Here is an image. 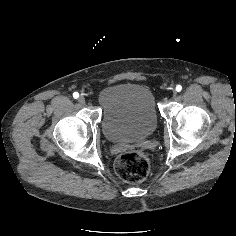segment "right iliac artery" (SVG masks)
I'll list each match as a JSON object with an SVG mask.
<instances>
[{"instance_id":"82829eb1","label":"right iliac artery","mask_w":236,"mask_h":236,"mask_svg":"<svg viewBox=\"0 0 236 236\" xmlns=\"http://www.w3.org/2000/svg\"><path fill=\"white\" fill-rule=\"evenodd\" d=\"M73 97H74L75 99H77V98L79 97V93H78V92H74V93H73Z\"/></svg>"}]
</instances>
